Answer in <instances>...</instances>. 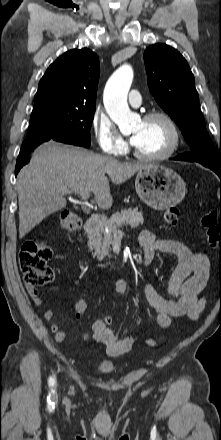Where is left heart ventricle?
Masks as SVG:
<instances>
[{
    "mask_svg": "<svg viewBox=\"0 0 221 440\" xmlns=\"http://www.w3.org/2000/svg\"><path fill=\"white\" fill-rule=\"evenodd\" d=\"M131 133L139 135L135 146L144 154H158L164 151L171 140L170 129L166 122L160 118L138 121L132 127Z\"/></svg>",
    "mask_w": 221,
    "mask_h": 440,
    "instance_id": "1",
    "label": "left heart ventricle"
}]
</instances>
